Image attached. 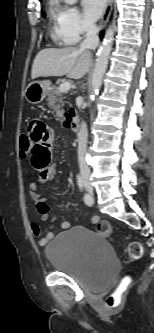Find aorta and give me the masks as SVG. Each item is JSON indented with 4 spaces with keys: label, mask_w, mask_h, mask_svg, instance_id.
Masks as SVG:
<instances>
[{
    "label": "aorta",
    "mask_w": 154,
    "mask_h": 333,
    "mask_svg": "<svg viewBox=\"0 0 154 333\" xmlns=\"http://www.w3.org/2000/svg\"><path fill=\"white\" fill-rule=\"evenodd\" d=\"M76 1L77 0H64V2L69 5H73ZM114 34H115V27L111 25L107 29L103 42L98 49L97 58L93 70L92 82H91V88H92V92L90 95L91 100L95 99V96L98 94L100 87L102 85V80L108 66L109 55L112 50Z\"/></svg>",
    "instance_id": "aorta-1"
}]
</instances>
